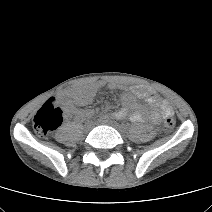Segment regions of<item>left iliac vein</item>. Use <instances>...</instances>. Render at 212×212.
I'll return each instance as SVG.
<instances>
[{
    "mask_svg": "<svg viewBox=\"0 0 212 212\" xmlns=\"http://www.w3.org/2000/svg\"><path fill=\"white\" fill-rule=\"evenodd\" d=\"M100 124H104V125H108L111 126L113 128H115L116 130H118L119 132H123V129L120 127V125L115 122V121H110V120H103L99 122Z\"/></svg>",
    "mask_w": 212,
    "mask_h": 212,
    "instance_id": "obj_1",
    "label": "left iliac vein"
}]
</instances>
